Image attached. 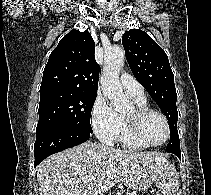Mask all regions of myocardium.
Returning a JSON list of instances; mask_svg holds the SVG:
<instances>
[{"mask_svg":"<svg viewBox=\"0 0 211 195\" xmlns=\"http://www.w3.org/2000/svg\"><path fill=\"white\" fill-rule=\"evenodd\" d=\"M150 114H156L160 116L165 123L167 133H166L165 139L162 142L151 143V142L146 141L142 136V133H141L142 120ZM125 121H126L128 132L131 135V137L135 141H137L139 144L143 145L144 147L161 146L164 143H166L170 137L171 129H170L169 121L167 117L165 116V114L157 109H153L148 106H136L134 108V113L132 115L125 116Z\"/></svg>","mask_w":211,"mask_h":195,"instance_id":"obj_1","label":"myocardium"}]
</instances>
